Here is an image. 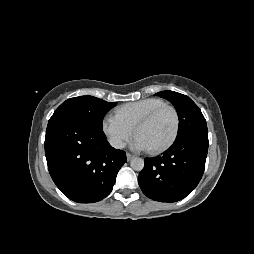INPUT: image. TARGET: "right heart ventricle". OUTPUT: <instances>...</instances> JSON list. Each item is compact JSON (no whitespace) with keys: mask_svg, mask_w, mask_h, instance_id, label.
I'll use <instances>...</instances> for the list:
<instances>
[{"mask_svg":"<svg viewBox=\"0 0 254 254\" xmlns=\"http://www.w3.org/2000/svg\"><path fill=\"white\" fill-rule=\"evenodd\" d=\"M159 98H145L125 103L115 109V115L129 126L135 128L136 124L154 108L164 104Z\"/></svg>","mask_w":254,"mask_h":254,"instance_id":"1","label":"right heart ventricle"}]
</instances>
